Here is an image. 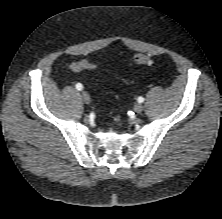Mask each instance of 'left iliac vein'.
<instances>
[{
    "label": "left iliac vein",
    "mask_w": 222,
    "mask_h": 219,
    "mask_svg": "<svg viewBox=\"0 0 222 219\" xmlns=\"http://www.w3.org/2000/svg\"><path fill=\"white\" fill-rule=\"evenodd\" d=\"M134 111L136 113H141L143 111V105L140 103H137L134 105Z\"/></svg>",
    "instance_id": "left-iliac-vein-1"
}]
</instances>
